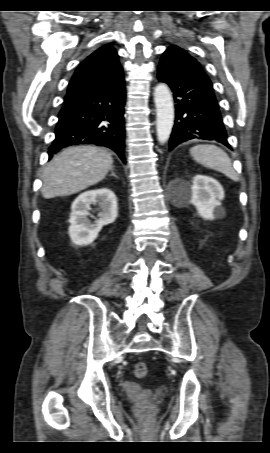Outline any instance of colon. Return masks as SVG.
<instances>
[{
	"label": "colon",
	"mask_w": 270,
	"mask_h": 453,
	"mask_svg": "<svg viewBox=\"0 0 270 453\" xmlns=\"http://www.w3.org/2000/svg\"><path fill=\"white\" fill-rule=\"evenodd\" d=\"M133 372L136 377L144 378L148 374V366L144 362H137L133 367ZM142 421L145 423H150L152 421V414L150 411H147L144 414Z\"/></svg>",
	"instance_id": "1"
}]
</instances>
